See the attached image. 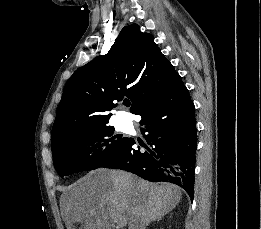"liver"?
I'll return each mask as SVG.
<instances>
[{
	"mask_svg": "<svg viewBox=\"0 0 261 229\" xmlns=\"http://www.w3.org/2000/svg\"><path fill=\"white\" fill-rule=\"evenodd\" d=\"M177 185H155L132 173L96 169L68 187L63 197L65 221L71 229H111L112 223L125 219L128 229H145L152 221L180 203Z\"/></svg>",
	"mask_w": 261,
	"mask_h": 229,
	"instance_id": "1",
	"label": "liver"
}]
</instances>
